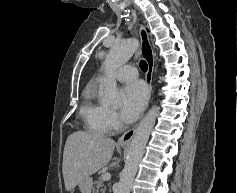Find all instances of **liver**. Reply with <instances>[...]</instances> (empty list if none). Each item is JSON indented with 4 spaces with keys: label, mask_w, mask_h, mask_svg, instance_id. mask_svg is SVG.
Returning <instances> with one entry per match:
<instances>
[{
    "label": "liver",
    "mask_w": 237,
    "mask_h": 193,
    "mask_svg": "<svg viewBox=\"0 0 237 193\" xmlns=\"http://www.w3.org/2000/svg\"><path fill=\"white\" fill-rule=\"evenodd\" d=\"M114 148L115 141L99 133L76 131L70 134L63 153L65 189L73 190L86 177L107 165Z\"/></svg>",
    "instance_id": "1"
}]
</instances>
